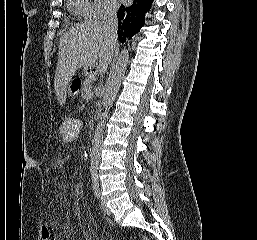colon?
<instances>
[{
    "instance_id": "1",
    "label": "colon",
    "mask_w": 257,
    "mask_h": 240,
    "mask_svg": "<svg viewBox=\"0 0 257 240\" xmlns=\"http://www.w3.org/2000/svg\"><path fill=\"white\" fill-rule=\"evenodd\" d=\"M81 86V81L79 78L72 79L69 85V94L71 97H76L78 95ZM39 236L41 240H50V229L47 222H43L39 229Z\"/></svg>"
}]
</instances>
